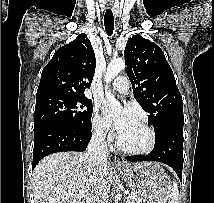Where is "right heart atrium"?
Wrapping results in <instances>:
<instances>
[{"instance_id":"obj_1","label":"right heart atrium","mask_w":214,"mask_h":203,"mask_svg":"<svg viewBox=\"0 0 214 203\" xmlns=\"http://www.w3.org/2000/svg\"><path fill=\"white\" fill-rule=\"evenodd\" d=\"M92 131L97 138L109 140L112 138L113 132L109 122L99 114L96 109L91 121Z\"/></svg>"}]
</instances>
